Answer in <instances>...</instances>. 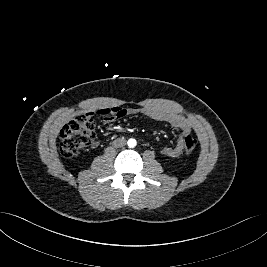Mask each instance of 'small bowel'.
<instances>
[{"label": "small bowel", "instance_id": "small-bowel-1", "mask_svg": "<svg viewBox=\"0 0 267 267\" xmlns=\"http://www.w3.org/2000/svg\"><path fill=\"white\" fill-rule=\"evenodd\" d=\"M87 114H97L104 118L105 122H113L115 119L120 118L126 114L136 115L140 114L153 120L166 122L173 128L180 131V136L173 146H165L160 150L161 155L165 157H178L182 154L184 149V138L189 135L193 130L192 123L182 115L165 111L155 107H142V108H110L102 109L96 112ZM100 145L99 141L92 143V147L96 148Z\"/></svg>", "mask_w": 267, "mask_h": 267}]
</instances>
